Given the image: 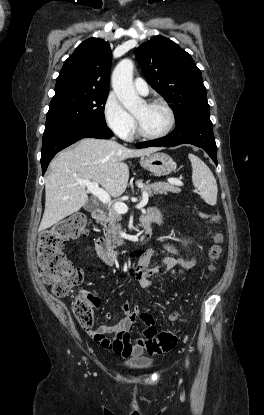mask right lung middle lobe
I'll use <instances>...</instances> for the list:
<instances>
[{
    "label": "right lung middle lobe",
    "instance_id": "dd1d6c3e",
    "mask_svg": "<svg viewBox=\"0 0 264 415\" xmlns=\"http://www.w3.org/2000/svg\"><path fill=\"white\" fill-rule=\"evenodd\" d=\"M108 93L68 92L55 95L47 112L44 132L79 123L106 124Z\"/></svg>",
    "mask_w": 264,
    "mask_h": 415
}]
</instances>
